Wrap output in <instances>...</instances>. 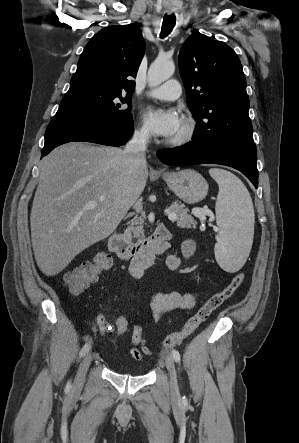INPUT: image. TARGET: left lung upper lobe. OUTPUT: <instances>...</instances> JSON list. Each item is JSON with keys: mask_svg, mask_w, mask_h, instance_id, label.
I'll return each mask as SVG.
<instances>
[{"mask_svg": "<svg viewBox=\"0 0 299 443\" xmlns=\"http://www.w3.org/2000/svg\"><path fill=\"white\" fill-rule=\"evenodd\" d=\"M179 70L196 121L194 142L254 143L241 62L221 41L195 33L182 46Z\"/></svg>", "mask_w": 299, "mask_h": 443, "instance_id": "5c2ea615", "label": "left lung upper lobe"}]
</instances>
